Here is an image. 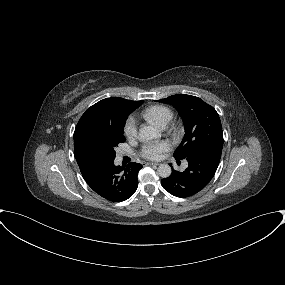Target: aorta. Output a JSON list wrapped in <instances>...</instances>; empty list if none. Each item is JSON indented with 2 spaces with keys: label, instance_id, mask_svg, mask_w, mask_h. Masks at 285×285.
Here are the masks:
<instances>
[{
  "label": "aorta",
  "instance_id": "obj_1",
  "mask_svg": "<svg viewBox=\"0 0 285 285\" xmlns=\"http://www.w3.org/2000/svg\"><path fill=\"white\" fill-rule=\"evenodd\" d=\"M139 137L142 140H152L154 138L160 137V132L153 126H144L139 130ZM172 170L168 164H161L158 167V175L162 178H167L171 175Z\"/></svg>",
  "mask_w": 285,
  "mask_h": 285
}]
</instances>
